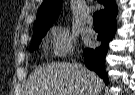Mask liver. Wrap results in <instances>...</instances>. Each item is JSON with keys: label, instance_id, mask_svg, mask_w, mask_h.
<instances>
[{"label": "liver", "instance_id": "1", "mask_svg": "<svg viewBox=\"0 0 135 95\" xmlns=\"http://www.w3.org/2000/svg\"><path fill=\"white\" fill-rule=\"evenodd\" d=\"M103 81L87 68L69 63L47 64L29 76L25 95H98Z\"/></svg>", "mask_w": 135, "mask_h": 95}]
</instances>
